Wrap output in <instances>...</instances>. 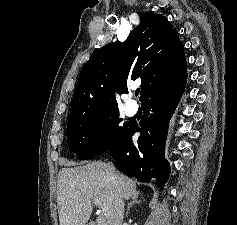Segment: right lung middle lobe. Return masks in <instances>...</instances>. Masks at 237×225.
<instances>
[{
	"instance_id": "obj_1",
	"label": "right lung middle lobe",
	"mask_w": 237,
	"mask_h": 225,
	"mask_svg": "<svg viewBox=\"0 0 237 225\" xmlns=\"http://www.w3.org/2000/svg\"><path fill=\"white\" fill-rule=\"evenodd\" d=\"M118 109L77 120L69 117L67 141L77 158L86 160L108 151L123 134L129 122L121 123Z\"/></svg>"
}]
</instances>
